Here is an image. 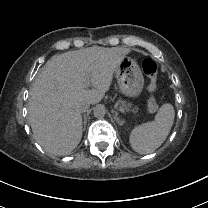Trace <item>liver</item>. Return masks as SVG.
Wrapping results in <instances>:
<instances>
[{
  "mask_svg": "<svg viewBox=\"0 0 208 208\" xmlns=\"http://www.w3.org/2000/svg\"><path fill=\"white\" fill-rule=\"evenodd\" d=\"M130 52L121 47H89L53 56L36 76L28 104L34 139L55 155L69 154L82 138L80 100L96 104L109 90L113 73ZM87 83L94 89L86 90Z\"/></svg>",
  "mask_w": 208,
  "mask_h": 208,
  "instance_id": "obj_1",
  "label": "liver"
}]
</instances>
